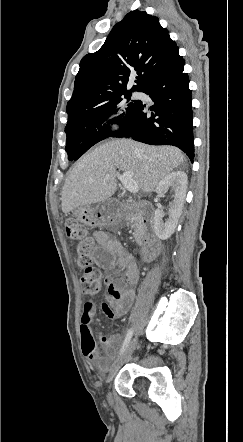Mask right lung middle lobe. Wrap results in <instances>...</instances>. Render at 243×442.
I'll return each mask as SVG.
<instances>
[{"label": "right lung middle lobe", "mask_w": 243, "mask_h": 442, "mask_svg": "<svg viewBox=\"0 0 243 442\" xmlns=\"http://www.w3.org/2000/svg\"><path fill=\"white\" fill-rule=\"evenodd\" d=\"M133 91L119 94L106 102L68 118L65 132L70 161L77 160L90 147L109 137L111 123L123 124L134 113L137 101H130ZM126 98L127 102L123 99Z\"/></svg>", "instance_id": "1"}]
</instances>
